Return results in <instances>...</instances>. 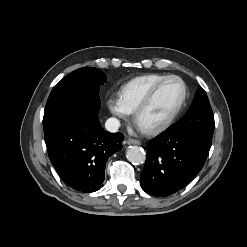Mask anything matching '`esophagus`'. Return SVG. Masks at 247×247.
Returning a JSON list of instances; mask_svg holds the SVG:
<instances>
[{"mask_svg":"<svg viewBox=\"0 0 247 247\" xmlns=\"http://www.w3.org/2000/svg\"><path fill=\"white\" fill-rule=\"evenodd\" d=\"M127 144L131 145H140V141L139 140H136V139H132V138H129L127 141H126Z\"/></svg>","mask_w":247,"mask_h":247,"instance_id":"esophagus-1","label":"esophagus"}]
</instances>
